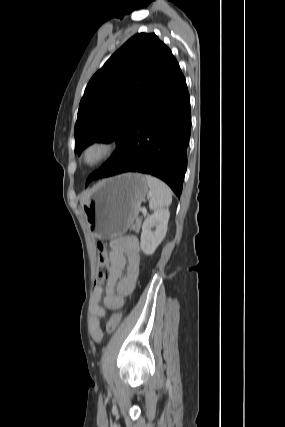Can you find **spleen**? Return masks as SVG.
I'll return each instance as SVG.
<instances>
[{
  "label": "spleen",
  "mask_w": 285,
  "mask_h": 427,
  "mask_svg": "<svg viewBox=\"0 0 285 427\" xmlns=\"http://www.w3.org/2000/svg\"><path fill=\"white\" fill-rule=\"evenodd\" d=\"M149 186V207L151 210L158 211L168 208L172 202V192L170 188L158 178L145 175Z\"/></svg>",
  "instance_id": "1"
}]
</instances>
